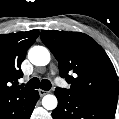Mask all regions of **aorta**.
I'll list each match as a JSON object with an SVG mask.
<instances>
[{
	"instance_id": "1",
	"label": "aorta",
	"mask_w": 119,
	"mask_h": 119,
	"mask_svg": "<svg viewBox=\"0 0 119 119\" xmlns=\"http://www.w3.org/2000/svg\"><path fill=\"white\" fill-rule=\"evenodd\" d=\"M30 62L36 66H45L50 62V53L43 46H34L28 52ZM57 98L54 95H45L42 99V105L47 110H53L57 107Z\"/></svg>"
}]
</instances>
